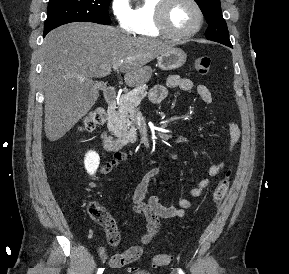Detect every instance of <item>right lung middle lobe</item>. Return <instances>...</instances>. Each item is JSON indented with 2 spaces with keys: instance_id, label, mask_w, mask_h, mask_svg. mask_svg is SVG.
<instances>
[{
  "instance_id": "obj_1",
  "label": "right lung middle lobe",
  "mask_w": 289,
  "mask_h": 274,
  "mask_svg": "<svg viewBox=\"0 0 289 274\" xmlns=\"http://www.w3.org/2000/svg\"><path fill=\"white\" fill-rule=\"evenodd\" d=\"M111 0H50L44 35L50 30L70 22L111 24L108 6Z\"/></svg>"
}]
</instances>
